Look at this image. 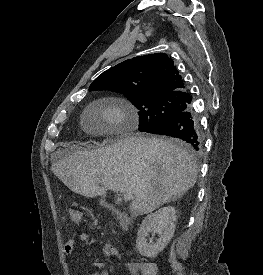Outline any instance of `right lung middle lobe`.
Returning <instances> with one entry per match:
<instances>
[{
    "mask_svg": "<svg viewBox=\"0 0 263 275\" xmlns=\"http://www.w3.org/2000/svg\"><path fill=\"white\" fill-rule=\"evenodd\" d=\"M89 90H111L125 94L139 110V131L141 132H148L175 115L190 109L192 102L189 94L134 95L121 89L90 88Z\"/></svg>",
    "mask_w": 263,
    "mask_h": 275,
    "instance_id": "1",
    "label": "right lung middle lobe"
}]
</instances>
